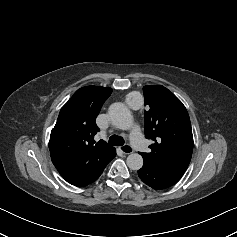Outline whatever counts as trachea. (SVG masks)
Returning a JSON list of instances; mask_svg holds the SVG:
<instances>
[{
  "mask_svg": "<svg viewBox=\"0 0 237 237\" xmlns=\"http://www.w3.org/2000/svg\"><path fill=\"white\" fill-rule=\"evenodd\" d=\"M109 144L122 146V145H124V139L122 137L117 136V135H112L109 138Z\"/></svg>",
  "mask_w": 237,
  "mask_h": 237,
  "instance_id": "trachea-1",
  "label": "trachea"
}]
</instances>
